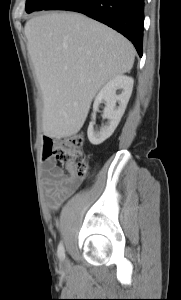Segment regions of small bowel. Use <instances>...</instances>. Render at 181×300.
I'll return each instance as SVG.
<instances>
[{
    "label": "small bowel",
    "mask_w": 181,
    "mask_h": 300,
    "mask_svg": "<svg viewBox=\"0 0 181 300\" xmlns=\"http://www.w3.org/2000/svg\"><path fill=\"white\" fill-rule=\"evenodd\" d=\"M81 179L72 178L50 161L45 169L43 187L50 199V207L57 209L80 186Z\"/></svg>",
    "instance_id": "obj_1"
}]
</instances>
